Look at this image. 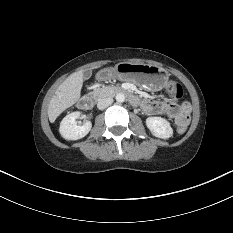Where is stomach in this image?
Wrapping results in <instances>:
<instances>
[{"mask_svg": "<svg viewBox=\"0 0 233 233\" xmlns=\"http://www.w3.org/2000/svg\"><path fill=\"white\" fill-rule=\"evenodd\" d=\"M113 78L129 80L157 91L168 82V73L162 67L151 64L121 62L115 67L100 70L96 75L98 81H107Z\"/></svg>", "mask_w": 233, "mask_h": 233, "instance_id": "stomach-1", "label": "stomach"}]
</instances>
